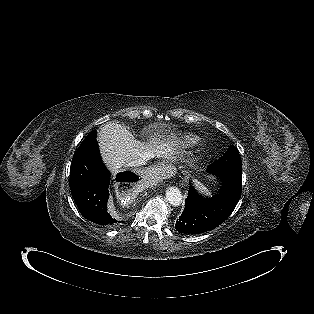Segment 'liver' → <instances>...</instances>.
<instances>
[{"instance_id": "6515ba94", "label": "liver", "mask_w": 314, "mask_h": 314, "mask_svg": "<svg viewBox=\"0 0 314 314\" xmlns=\"http://www.w3.org/2000/svg\"><path fill=\"white\" fill-rule=\"evenodd\" d=\"M98 143L104 162L113 172L138 158H171L174 149L168 142L153 139L140 142L121 124L109 122L98 132Z\"/></svg>"}]
</instances>
